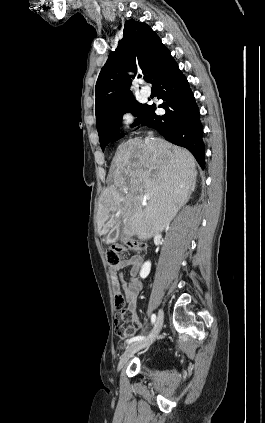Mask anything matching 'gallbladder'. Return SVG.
<instances>
[{
	"mask_svg": "<svg viewBox=\"0 0 265 423\" xmlns=\"http://www.w3.org/2000/svg\"><path fill=\"white\" fill-rule=\"evenodd\" d=\"M118 232H119V225L117 224L111 230V232L108 234V236L104 239V242L106 244H110V243L114 242L117 239V237H118Z\"/></svg>",
	"mask_w": 265,
	"mask_h": 423,
	"instance_id": "1",
	"label": "gallbladder"
}]
</instances>
